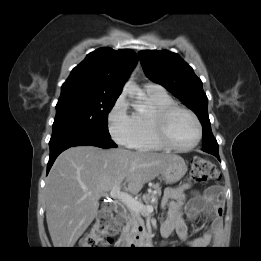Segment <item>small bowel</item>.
I'll return each mask as SVG.
<instances>
[{
  "instance_id": "obj_1",
  "label": "small bowel",
  "mask_w": 261,
  "mask_h": 261,
  "mask_svg": "<svg viewBox=\"0 0 261 261\" xmlns=\"http://www.w3.org/2000/svg\"><path fill=\"white\" fill-rule=\"evenodd\" d=\"M190 184L183 183L166 189L162 205L167 207V217L161 224L162 234L167 236L175 229L178 237L186 243L189 248H205L218 235L222 225L224 206V191L219 186H211L201 194L190 191ZM188 192L192 195L189 203L188 215L196 219L203 215L210 219V229L202 236L188 240L187 225L182 217V209L188 200Z\"/></svg>"
}]
</instances>
